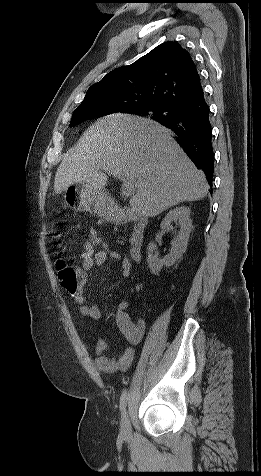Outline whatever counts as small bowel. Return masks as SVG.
I'll return each instance as SVG.
<instances>
[{"label": "small bowel", "mask_w": 261, "mask_h": 476, "mask_svg": "<svg viewBox=\"0 0 261 476\" xmlns=\"http://www.w3.org/2000/svg\"><path fill=\"white\" fill-rule=\"evenodd\" d=\"M96 249V250H95ZM82 261L78 269L81 281L78 289L69 293L79 305L80 313L83 317L98 320L101 318V311L95 304H88L83 288L87 281L88 273L94 267H101L108 259L120 263L121 275L129 277L132 272V263L122 257L117 251L110 249L105 243L103 237L92 227L90 237L83 244V252L80 254ZM130 301L122 300L117 307L115 316L116 325L123 333L128 347L119 356H113L110 353L108 344L103 339H96L94 343L95 365L101 371L112 373L116 371L127 370L135 357L136 346L142 341L145 324L143 321H133L128 313Z\"/></svg>", "instance_id": "obj_1"}]
</instances>
